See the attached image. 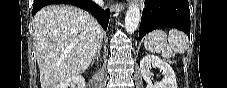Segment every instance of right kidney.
<instances>
[{
	"label": "right kidney",
	"instance_id": "1",
	"mask_svg": "<svg viewBox=\"0 0 227 88\" xmlns=\"http://www.w3.org/2000/svg\"><path fill=\"white\" fill-rule=\"evenodd\" d=\"M84 87L85 79L82 75L70 77L56 86V88H84Z\"/></svg>",
	"mask_w": 227,
	"mask_h": 88
}]
</instances>
